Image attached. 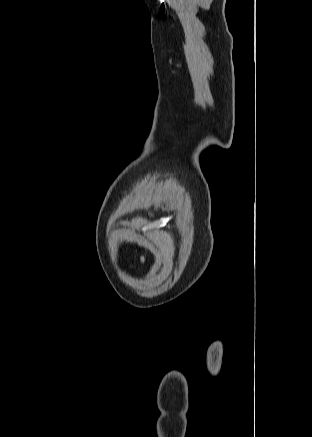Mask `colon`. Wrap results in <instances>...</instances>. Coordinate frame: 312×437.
<instances>
[{"label":"colon","instance_id":"5ec220e1","mask_svg":"<svg viewBox=\"0 0 312 437\" xmlns=\"http://www.w3.org/2000/svg\"><path fill=\"white\" fill-rule=\"evenodd\" d=\"M144 260H145V255H144V253H142L139 257V261H140V263H143Z\"/></svg>","mask_w":312,"mask_h":437}]
</instances>
